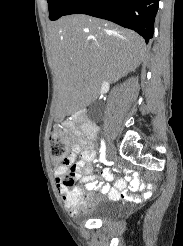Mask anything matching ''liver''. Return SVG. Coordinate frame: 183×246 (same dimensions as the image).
Segmentation results:
<instances>
[{
    "label": "liver",
    "mask_w": 183,
    "mask_h": 246,
    "mask_svg": "<svg viewBox=\"0 0 183 246\" xmlns=\"http://www.w3.org/2000/svg\"><path fill=\"white\" fill-rule=\"evenodd\" d=\"M48 35L61 115L78 110L103 81L135 71L145 57L137 33L87 15L62 17L50 24Z\"/></svg>",
    "instance_id": "6515ba94"
}]
</instances>
